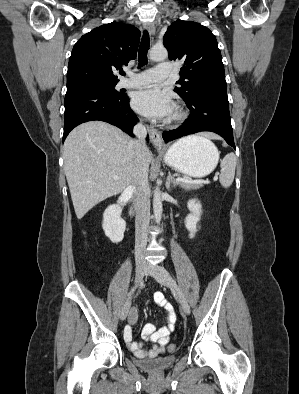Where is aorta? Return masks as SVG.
I'll return each mask as SVG.
<instances>
[{"label":"aorta","instance_id":"aorta-1","mask_svg":"<svg viewBox=\"0 0 299 394\" xmlns=\"http://www.w3.org/2000/svg\"><path fill=\"white\" fill-rule=\"evenodd\" d=\"M168 53L164 47H153L150 51V59L152 61H163L167 58ZM153 212L154 218L157 224L160 223L162 218V200H161V193L158 187L154 190L153 196Z\"/></svg>","mask_w":299,"mask_h":394}]
</instances>
